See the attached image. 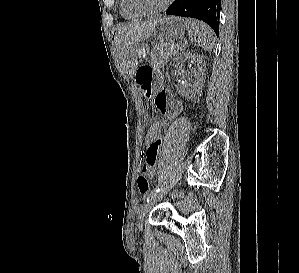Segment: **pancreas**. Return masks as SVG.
Masks as SVG:
<instances>
[{
    "label": "pancreas",
    "mask_w": 299,
    "mask_h": 273,
    "mask_svg": "<svg viewBox=\"0 0 299 273\" xmlns=\"http://www.w3.org/2000/svg\"><path fill=\"white\" fill-rule=\"evenodd\" d=\"M183 45L181 43H157L150 53V63L154 67H162L173 56L181 51Z\"/></svg>",
    "instance_id": "pancreas-1"
}]
</instances>
